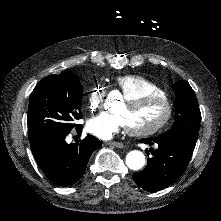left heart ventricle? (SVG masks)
<instances>
[{"label":"left heart ventricle","mask_w":221,"mask_h":221,"mask_svg":"<svg viewBox=\"0 0 221 221\" xmlns=\"http://www.w3.org/2000/svg\"><path fill=\"white\" fill-rule=\"evenodd\" d=\"M161 115V106L153 100L149 103H143L138 107L137 111L134 112V120H137L142 125H145L148 122L158 120Z\"/></svg>","instance_id":"1"}]
</instances>
